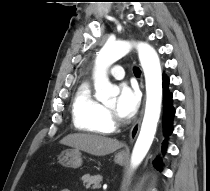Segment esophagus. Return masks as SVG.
Returning a JSON list of instances; mask_svg holds the SVG:
<instances>
[{
  "mask_svg": "<svg viewBox=\"0 0 210 191\" xmlns=\"http://www.w3.org/2000/svg\"><path fill=\"white\" fill-rule=\"evenodd\" d=\"M142 115H143V111H141L140 117L138 118V120L132 126V128L130 130V143H132L136 139V137L138 135V132H139V129H140L141 120H142Z\"/></svg>",
  "mask_w": 210,
  "mask_h": 191,
  "instance_id": "esophagus-1",
  "label": "esophagus"
}]
</instances>
